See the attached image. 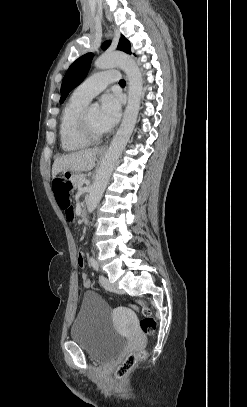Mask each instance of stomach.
Returning <instances> with one entry per match:
<instances>
[{
    "mask_svg": "<svg viewBox=\"0 0 247 407\" xmlns=\"http://www.w3.org/2000/svg\"><path fill=\"white\" fill-rule=\"evenodd\" d=\"M60 176L61 178H69V180L73 181L74 178H78L79 171L78 169H61Z\"/></svg>",
    "mask_w": 247,
    "mask_h": 407,
    "instance_id": "1",
    "label": "stomach"
}]
</instances>
